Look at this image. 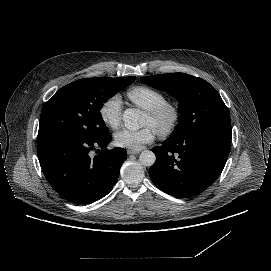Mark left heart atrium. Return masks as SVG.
<instances>
[{
  "mask_svg": "<svg viewBox=\"0 0 271 271\" xmlns=\"http://www.w3.org/2000/svg\"><path fill=\"white\" fill-rule=\"evenodd\" d=\"M154 135L153 128L148 125L139 130L122 129L115 134L114 140L119 147L140 150L154 140Z\"/></svg>",
  "mask_w": 271,
  "mask_h": 271,
  "instance_id": "39dd6f15",
  "label": "left heart atrium"
}]
</instances>
